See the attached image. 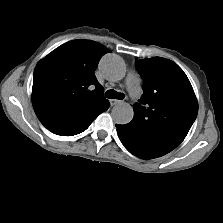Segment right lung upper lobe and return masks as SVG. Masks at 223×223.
Masks as SVG:
<instances>
[{
    "mask_svg": "<svg viewBox=\"0 0 223 223\" xmlns=\"http://www.w3.org/2000/svg\"><path fill=\"white\" fill-rule=\"evenodd\" d=\"M103 45L88 41L67 42L42 59L34 70L32 103L41 123L51 132L72 136L86 130L109 101L94 71Z\"/></svg>",
    "mask_w": 223,
    "mask_h": 223,
    "instance_id": "cb5924a9",
    "label": "right lung upper lobe"
}]
</instances>
